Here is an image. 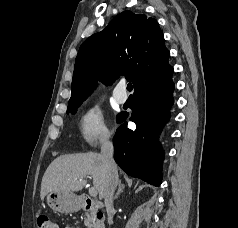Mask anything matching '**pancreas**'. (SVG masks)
<instances>
[{
	"label": "pancreas",
	"instance_id": "obj_1",
	"mask_svg": "<svg viewBox=\"0 0 238 228\" xmlns=\"http://www.w3.org/2000/svg\"><path fill=\"white\" fill-rule=\"evenodd\" d=\"M84 224H85V226H87V228H95L96 227L94 212H92L91 214H89V213L85 214Z\"/></svg>",
	"mask_w": 238,
	"mask_h": 228
}]
</instances>
